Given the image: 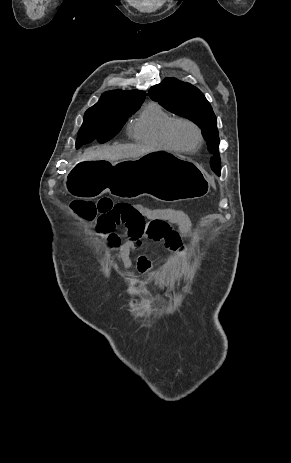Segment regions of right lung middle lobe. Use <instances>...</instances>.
<instances>
[{"mask_svg": "<svg viewBox=\"0 0 291 463\" xmlns=\"http://www.w3.org/2000/svg\"><path fill=\"white\" fill-rule=\"evenodd\" d=\"M140 104H134L123 109L108 107L88 109L78 132L76 148L93 140H97L99 143L110 140L119 132L125 120L138 109Z\"/></svg>", "mask_w": 291, "mask_h": 463, "instance_id": "obj_1", "label": "right lung middle lobe"}]
</instances>
